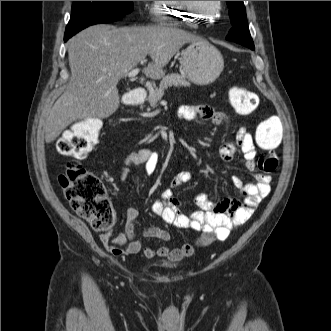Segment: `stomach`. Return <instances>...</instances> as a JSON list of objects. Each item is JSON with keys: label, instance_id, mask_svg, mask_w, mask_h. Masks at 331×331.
Masks as SVG:
<instances>
[{"label": "stomach", "instance_id": "obj_1", "mask_svg": "<svg viewBox=\"0 0 331 331\" xmlns=\"http://www.w3.org/2000/svg\"><path fill=\"white\" fill-rule=\"evenodd\" d=\"M182 74L198 85L212 83L221 74L224 60L218 49L206 40L191 42L180 58Z\"/></svg>", "mask_w": 331, "mask_h": 331}]
</instances>
